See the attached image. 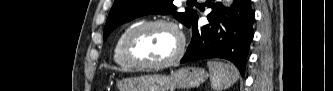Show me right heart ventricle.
Listing matches in <instances>:
<instances>
[{"instance_id":"obj_1","label":"right heart ventricle","mask_w":333,"mask_h":91,"mask_svg":"<svg viewBox=\"0 0 333 91\" xmlns=\"http://www.w3.org/2000/svg\"><path fill=\"white\" fill-rule=\"evenodd\" d=\"M133 26L134 25L128 26L119 34V36L117 37V39L115 41V45H114V49H113V60L119 67H121L123 69L137 68L128 62V60L126 59V57L124 55V51H123L124 39H125L127 33L129 32V30Z\"/></svg>"}]
</instances>
